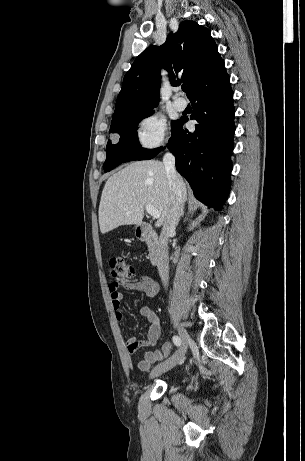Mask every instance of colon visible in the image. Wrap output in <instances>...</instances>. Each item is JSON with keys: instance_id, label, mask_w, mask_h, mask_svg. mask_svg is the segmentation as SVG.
I'll list each match as a JSON object with an SVG mask.
<instances>
[{"instance_id": "obj_1", "label": "colon", "mask_w": 305, "mask_h": 461, "mask_svg": "<svg viewBox=\"0 0 305 461\" xmlns=\"http://www.w3.org/2000/svg\"><path fill=\"white\" fill-rule=\"evenodd\" d=\"M110 269L112 277L117 281L128 280L135 273L133 267L120 256L110 259Z\"/></svg>"}]
</instances>
